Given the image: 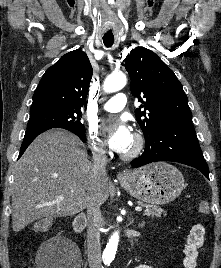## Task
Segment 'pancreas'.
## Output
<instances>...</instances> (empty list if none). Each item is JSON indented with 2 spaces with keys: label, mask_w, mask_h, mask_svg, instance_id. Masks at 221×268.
Segmentation results:
<instances>
[{
  "label": "pancreas",
  "mask_w": 221,
  "mask_h": 268,
  "mask_svg": "<svg viewBox=\"0 0 221 268\" xmlns=\"http://www.w3.org/2000/svg\"><path fill=\"white\" fill-rule=\"evenodd\" d=\"M140 206L145 207L144 215L152 216V217H161L162 215L166 216V211L162 208L153 206V205H146L143 203H139Z\"/></svg>",
  "instance_id": "cf45deb5"
}]
</instances>
